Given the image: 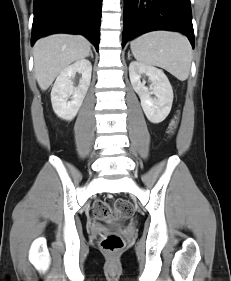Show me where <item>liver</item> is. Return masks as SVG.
I'll return each instance as SVG.
<instances>
[{"instance_id": "liver-1", "label": "liver", "mask_w": 231, "mask_h": 281, "mask_svg": "<svg viewBox=\"0 0 231 281\" xmlns=\"http://www.w3.org/2000/svg\"><path fill=\"white\" fill-rule=\"evenodd\" d=\"M90 52V42L80 35L56 34L38 40L33 55L35 77L41 90H47L63 69Z\"/></svg>"}]
</instances>
